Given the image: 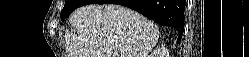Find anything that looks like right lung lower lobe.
Segmentation results:
<instances>
[{
  "label": "right lung lower lobe",
  "mask_w": 249,
  "mask_h": 57,
  "mask_svg": "<svg viewBox=\"0 0 249 57\" xmlns=\"http://www.w3.org/2000/svg\"><path fill=\"white\" fill-rule=\"evenodd\" d=\"M115 3L136 10L163 26L173 27L182 34L184 30L183 0H92L89 4Z\"/></svg>",
  "instance_id": "right-lung-lower-lobe-1"
}]
</instances>
